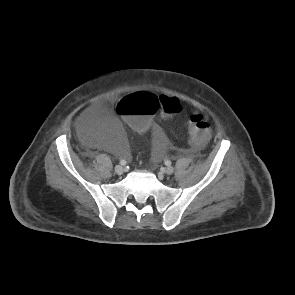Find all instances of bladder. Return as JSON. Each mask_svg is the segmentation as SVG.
<instances>
[{
    "label": "bladder",
    "instance_id": "1",
    "mask_svg": "<svg viewBox=\"0 0 295 295\" xmlns=\"http://www.w3.org/2000/svg\"><path fill=\"white\" fill-rule=\"evenodd\" d=\"M80 136L97 148L106 149L117 158H124L129 153L127 137L113 113L102 105L85 108L77 119Z\"/></svg>",
    "mask_w": 295,
    "mask_h": 295
}]
</instances>
